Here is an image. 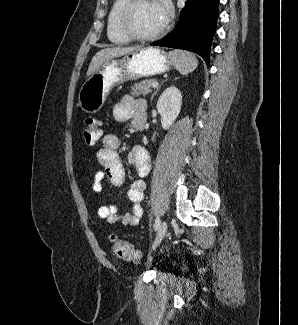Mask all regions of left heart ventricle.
<instances>
[{"instance_id": "b2bd125f", "label": "left heart ventricle", "mask_w": 298, "mask_h": 325, "mask_svg": "<svg viewBox=\"0 0 298 325\" xmlns=\"http://www.w3.org/2000/svg\"><path fill=\"white\" fill-rule=\"evenodd\" d=\"M164 7L153 0L139 2L130 12L127 24L138 36H148L165 25Z\"/></svg>"}]
</instances>
